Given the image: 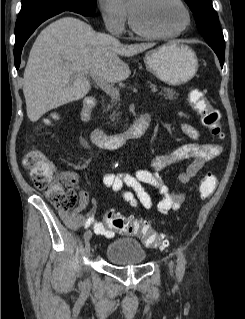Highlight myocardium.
Wrapping results in <instances>:
<instances>
[{"label":"myocardium","instance_id":"1","mask_svg":"<svg viewBox=\"0 0 245 319\" xmlns=\"http://www.w3.org/2000/svg\"><path fill=\"white\" fill-rule=\"evenodd\" d=\"M175 2H177L182 7V9L184 10L185 15H186V22H185L184 26L182 28H180L179 30H177L175 32H171V33H159V32L150 31V30L144 28L140 24L133 9L128 7L131 28L133 29V31L136 34H138L142 37H145V38H149V39L166 40V39H173V38H176V37L182 35L191 26L192 16H191V12H190L188 6L184 3L183 0H175Z\"/></svg>","mask_w":245,"mask_h":319}]
</instances>
